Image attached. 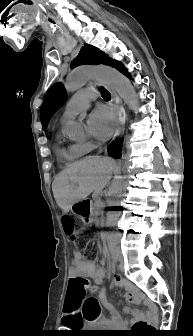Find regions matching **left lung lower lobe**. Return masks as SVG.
Masks as SVG:
<instances>
[{"instance_id": "0a47b994", "label": "left lung lower lobe", "mask_w": 193, "mask_h": 336, "mask_svg": "<svg viewBox=\"0 0 193 336\" xmlns=\"http://www.w3.org/2000/svg\"><path fill=\"white\" fill-rule=\"evenodd\" d=\"M111 67L116 68L118 71L122 72L123 74L127 75L129 77L128 72L126 71V69L123 67V65L117 61H113Z\"/></svg>"}]
</instances>
